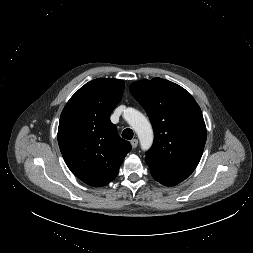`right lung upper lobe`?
<instances>
[{
    "instance_id": "1",
    "label": "right lung upper lobe",
    "mask_w": 253,
    "mask_h": 253,
    "mask_svg": "<svg viewBox=\"0 0 253 253\" xmlns=\"http://www.w3.org/2000/svg\"><path fill=\"white\" fill-rule=\"evenodd\" d=\"M124 85L118 79H94L70 98L61 113L58 143L62 156L71 172L90 186L111 182L132 148L110 121Z\"/></svg>"
}]
</instances>
